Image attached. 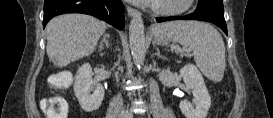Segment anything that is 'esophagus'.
Segmentation results:
<instances>
[{
	"label": "esophagus",
	"mask_w": 273,
	"mask_h": 118,
	"mask_svg": "<svg viewBox=\"0 0 273 118\" xmlns=\"http://www.w3.org/2000/svg\"><path fill=\"white\" fill-rule=\"evenodd\" d=\"M127 13L131 17H141V12L129 6L127 7Z\"/></svg>",
	"instance_id": "obj_1"
}]
</instances>
